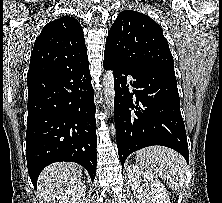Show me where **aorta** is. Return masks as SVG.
<instances>
[{"mask_svg": "<svg viewBox=\"0 0 222 203\" xmlns=\"http://www.w3.org/2000/svg\"><path fill=\"white\" fill-rule=\"evenodd\" d=\"M103 90L106 105L110 109L111 115L114 112V100H115V87H114V75L111 69L107 70L103 75Z\"/></svg>", "mask_w": 222, "mask_h": 203, "instance_id": "obj_1", "label": "aorta"}]
</instances>
